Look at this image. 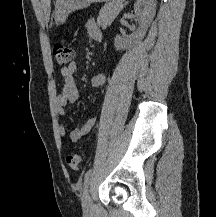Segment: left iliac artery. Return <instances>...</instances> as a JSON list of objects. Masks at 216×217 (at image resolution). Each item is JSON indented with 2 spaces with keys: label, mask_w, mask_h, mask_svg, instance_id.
I'll return each mask as SVG.
<instances>
[{
  "label": "left iliac artery",
  "mask_w": 216,
  "mask_h": 217,
  "mask_svg": "<svg viewBox=\"0 0 216 217\" xmlns=\"http://www.w3.org/2000/svg\"><path fill=\"white\" fill-rule=\"evenodd\" d=\"M91 176H92V169H89L86 174H85V177H84V189H86L90 183V179H91Z\"/></svg>",
  "instance_id": "left-iliac-artery-1"
}]
</instances>
